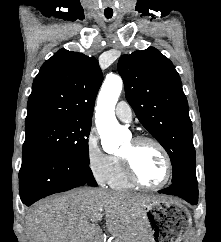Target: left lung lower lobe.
I'll list each match as a JSON object with an SVG mask.
<instances>
[{
  "label": "left lung lower lobe",
  "instance_id": "0a47b994",
  "mask_svg": "<svg viewBox=\"0 0 221 242\" xmlns=\"http://www.w3.org/2000/svg\"><path fill=\"white\" fill-rule=\"evenodd\" d=\"M160 193L163 194H170L182 197L187 202L192 205L198 203V186H197V179L196 173L191 172L175 182H172V185L166 189L159 190Z\"/></svg>",
  "mask_w": 221,
  "mask_h": 242
}]
</instances>
